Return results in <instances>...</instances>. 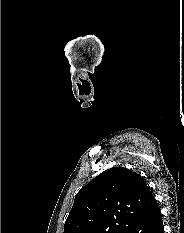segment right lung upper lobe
<instances>
[{"label": "right lung upper lobe", "mask_w": 184, "mask_h": 233, "mask_svg": "<svg viewBox=\"0 0 184 233\" xmlns=\"http://www.w3.org/2000/svg\"><path fill=\"white\" fill-rule=\"evenodd\" d=\"M156 205L140 175L113 167L76 194L64 233H127Z\"/></svg>", "instance_id": "1"}]
</instances>
